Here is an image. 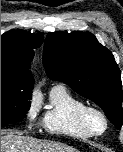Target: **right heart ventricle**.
Masks as SVG:
<instances>
[{
	"label": "right heart ventricle",
	"mask_w": 123,
	"mask_h": 152,
	"mask_svg": "<svg viewBox=\"0 0 123 152\" xmlns=\"http://www.w3.org/2000/svg\"><path fill=\"white\" fill-rule=\"evenodd\" d=\"M86 104L71 94L64 86H54L49 95V104L42 117V126L50 134L76 139L91 135L82 128L78 115Z\"/></svg>",
	"instance_id": "1"
}]
</instances>
